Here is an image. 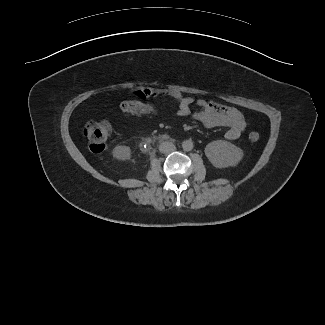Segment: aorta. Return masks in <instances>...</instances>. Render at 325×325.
<instances>
[{
    "mask_svg": "<svg viewBox=\"0 0 325 325\" xmlns=\"http://www.w3.org/2000/svg\"><path fill=\"white\" fill-rule=\"evenodd\" d=\"M184 151H191L193 149V142L191 140H185L182 144Z\"/></svg>",
    "mask_w": 325,
    "mask_h": 325,
    "instance_id": "obj_1",
    "label": "aorta"
}]
</instances>
